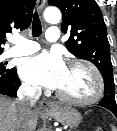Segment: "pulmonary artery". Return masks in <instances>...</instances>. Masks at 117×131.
<instances>
[{"label": "pulmonary artery", "instance_id": "1", "mask_svg": "<svg viewBox=\"0 0 117 131\" xmlns=\"http://www.w3.org/2000/svg\"><path fill=\"white\" fill-rule=\"evenodd\" d=\"M46 39L49 42H56L59 39V29L57 27L48 28ZM12 41L15 45L9 50L10 56L30 55L40 49V46L36 42L23 37H16Z\"/></svg>", "mask_w": 117, "mask_h": 131}]
</instances>
